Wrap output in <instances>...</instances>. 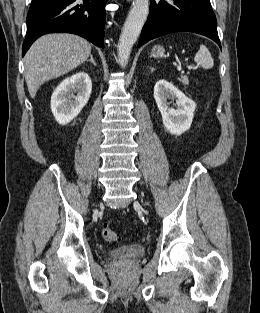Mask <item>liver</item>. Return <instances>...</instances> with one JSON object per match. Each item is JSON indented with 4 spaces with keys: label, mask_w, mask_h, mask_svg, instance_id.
<instances>
[{
    "label": "liver",
    "mask_w": 260,
    "mask_h": 313,
    "mask_svg": "<svg viewBox=\"0 0 260 313\" xmlns=\"http://www.w3.org/2000/svg\"><path fill=\"white\" fill-rule=\"evenodd\" d=\"M90 54V43L77 35L49 34L37 39L24 57L30 96L34 98L45 81L68 73L86 61Z\"/></svg>",
    "instance_id": "1"
}]
</instances>
